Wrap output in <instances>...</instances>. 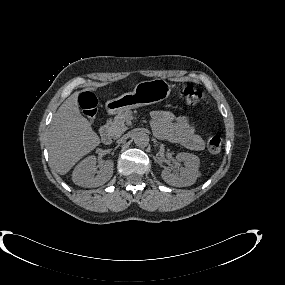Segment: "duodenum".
Wrapping results in <instances>:
<instances>
[{
	"label": "duodenum",
	"mask_w": 285,
	"mask_h": 285,
	"mask_svg": "<svg viewBox=\"0 0 285 285\" xmlns=\"http://www.w3.org/2000/svg\"><path fill=\"white\" fill-rule=\"evenodd\" d=\"M99 137L103 143L108 144L110 142L111 136H110L109 130L107 128V125L105 123H103L100 127Z\"/></svg>",
	"instance_id": "duodenum-1"
}]
</instances>
